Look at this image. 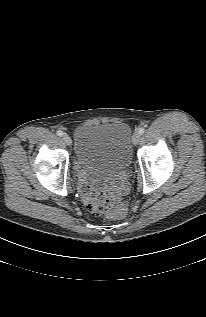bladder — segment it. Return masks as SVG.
I'll use <instances>...</instances> for the list:
<instances>
[{"mask_svg":"<svg viewBox=\"0 0 206 317\" xmlns=\"http://www.w3.org/2000/svg\"><path fill=\"white\" fill-rule=\"evenodd\" d=\"M132 136L126 123L82 124L74 132L75 157L95 177L124 171L132 161Z\"/></svg>","mask_w":206,"mask_h":317,"instance_id":"31cf9c89","label":"bladder"}]
</instances>
